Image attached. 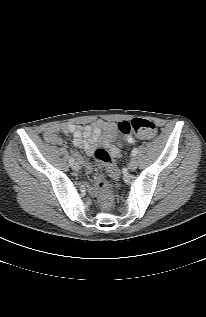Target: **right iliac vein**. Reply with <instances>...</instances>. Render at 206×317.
Instances as JSON below:
<instances>
[{
  "instance_id": "63e3f726",
  "label": "right iliac vein",
  "mask_w": 206,
  "mask_h": 317,
  "mask_svg": "<svg viewBox=\"0 0 206 317\" xmlns=\"http://www.w3.org/2000/svg\"><path fill=\"white\" fill-rule=\"evenodd\" d=\"M73 170L78 171L80 169V165L78 163H74L72 165Z\"/></svg>"
}]
</instances>
